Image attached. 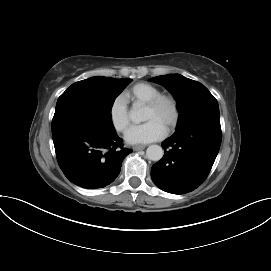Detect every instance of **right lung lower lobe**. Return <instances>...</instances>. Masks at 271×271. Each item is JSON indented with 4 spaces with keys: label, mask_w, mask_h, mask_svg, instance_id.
Wrapping results in <instances>:
<instances>
[{
    "label": "right lung lower lobe",
    "mask_w": 271,
    "mask_h": 271,
    "mask_svg": "<svg viewBox=\"0 0 271 271\" xmlns=\"http://www.w3.org/2000/svg\"><path fill=\"white\" fill-rule=\"evenodd\" d=\"M57 161L65 176L87 189L102 188L120 173L123 159L132 152L121 146L114 128L89 123L53 136Z\"/></svg>",
    "instance_id": "obj_1"
}]
</instances>
